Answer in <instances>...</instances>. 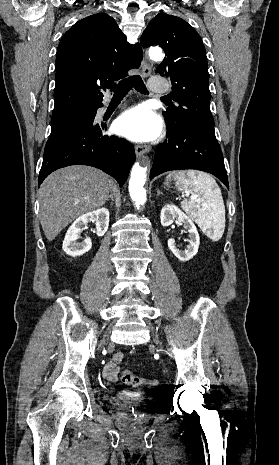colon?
<instances>
[{
	"mask_svg": "<svg viewBox=\"0 0 279 465\" xmlns=\"http://www.w3.org/2000/svg\"><path fill=\"white\" fill-rule=\"evenodd\" d=\"M121 381L124 384L132 386H149L153 387L158 384L156 379H144L135 376L129 369H124L121 374Z\"/></svg>",
	"mask_w": 279,
	"mask_h": 465,
	"instance_id": "obj_1",
	"label": "colon"
}]
</instances>
